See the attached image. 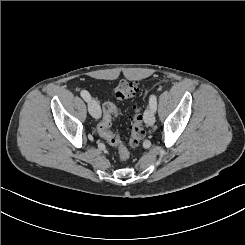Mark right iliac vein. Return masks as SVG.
Returning <instances> with one entry per match:
<instances>
[{"instance_id": "right-iliac-vein-1", "label": "right iliac vein", "mask_w": 245, "mask_h": 245, "mask_svg": "<svg viewBox=\"0 0 245 245\" xmlns=\"http://www.w3.org/2000/svg\"><path fill=\"white\" fill-rule=\"evenodd\" d=\"M88 110L89 113L96 119L100 118L101 115V109L98 103L96 102L95 99L91 98L88 101Z\"/></svg>"}]
</instances>
